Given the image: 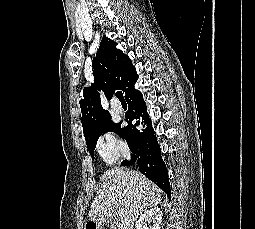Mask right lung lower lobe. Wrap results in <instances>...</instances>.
I'll use <instances>...</instances> for the list:
<instances>
[{"mask_svg":"<svg viewBox=\"0 0 255 229\" xmlns=\"http://www.w3.org/2000/svg\"><path fill=\"white\" fill-rule=\"evenodd\" d=\"M137 78L138 75L133 70L125 91L129 110L126 113L128 126L124 127V136L133 154L132 160L124 161L122 165H131L137 161L140 172L159 186L170 200V183L167 168L161 157V149L142 94L134 88ZM138 126L143 128L137 129Z\"/></svg>","mask_w":255,"mask_h":229,"instance_id":"1","label":"right lung lower lobe"}]
</instances>
